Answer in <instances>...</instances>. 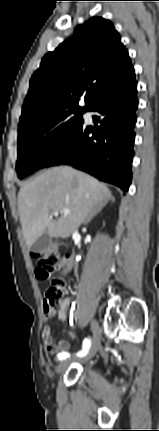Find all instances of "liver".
<instances>
[{"label":"liver","mask_w":159,"mask_h":431,"mask_svg":"<svg viewBox=\"0 0 159 431\" xmlns=\"http://www.w3.org/2000/svg\"><path fill=\"white\" fill-rule=\"evenodd\" d=\"M111 196L108 187L88 174L71 167H53L24 183L18 194V212L26 244L45 232L52 238L66 239L92 210ZM68 209L69 214L62 211ZM50 211L60 217L52 220Z\"/></svg>","instance_id":"6515ba94"}]
</instances>
